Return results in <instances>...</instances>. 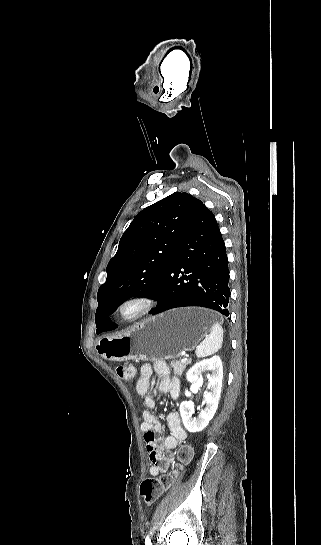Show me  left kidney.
I'll return each instance as SVG.
<instances>
[{"label": "left kidney", "instance_id": "obj_1", "mask_svg": "<svg viewBox=\"0 0 321 545\" xmlns=\"http://www.w3.org/2000/svg\"><path fill=\"white\" fill-rule=\"evenodd\" d=\"M204 371H211V375H208L207 389L210 391H205L204 397L202 399V407L206 405L205 409L197 407L200 411L197 419H192L194 413V403L192 401H183L179 407L180 415L184 423L185 429L189 433H200L203 431L209 421L213 419L218 403L220 401L222 379H223V367L220 357H211V359H204L200 363L193 365L189 371L186 373V379L189 383H196L198 379H201V373ZM185 397H192L190 391H185Z\"/></svg>", "mask_w": 321, "mask_h": 545}]
</instances>
